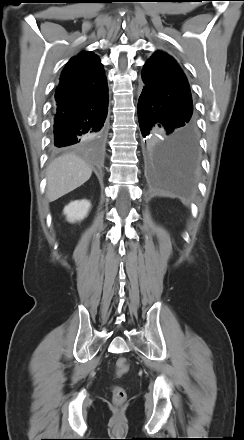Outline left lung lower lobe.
Segmentation results:
<instances>
[{
	"mask_svg": "<svg viewBox=\"0 0 244 440\" xmlns=\"http://www.w3.org/2000/svg\"><path fill=\"white\" fill-rule=\"evenodd\" d=\"M137 111L148 169L173 177L179 190L189 192L199 166L198 132L192 116L147 87H143Z\"/></svg>",
	"mask_w": 244,
	"mask_h": 440,
	"instance_id": "obj_1",
	"label": "left lung lower lobe"
}]
</instances>
